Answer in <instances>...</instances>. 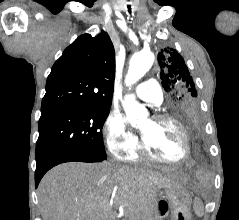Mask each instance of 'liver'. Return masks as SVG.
<instances>
[{"label": "liver", "instance_id": "obj_1", "mask_svg": "<svg viewBox=\"0 0 239 220\" xmlns=\"http://www.w3.org/2000/svg\"><path fill=\"white\" fill-rule=\"evenodd\" d=\"M182 175L109 162L60 164L42 178L38 198L43 220H115L113 207L123 206L125 220H149L156 192L183 187Z\"/></svg>", "mask_w": 239, "mask_h": 220}]
</instances>
